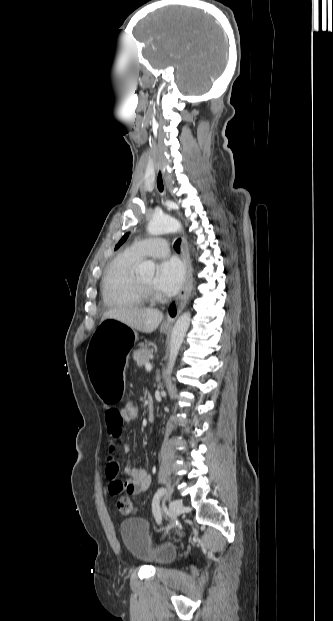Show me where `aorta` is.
<instances>
[{
    "label": "aorta",
    "instance_id": "aorta-1",
    "mask_svg": "<svg viewBox=\"0 0 333 621\" xmlns=\"http://www.w3.org/2000/svg\"><path fill=\"white\" fill-rule=\"evenodd\" d=\"M181 225L179 222L167 215H156L148 223L147 230L151 235H161L165 233H173L179 231ZM155 271V265L152 261H146L139 265L138 274L141 276L153 275ZM191 321V314L189 311L181 314L175 322L172 330L170 340V352L169 361L166 370V375H169L175 365L179 350L183 343L185 334L189 328Z\"/></svg>",
    "mask_w": 333,
    "mask_h": 621
}]
</instances>
